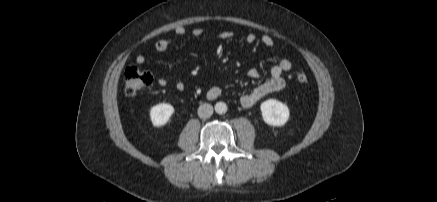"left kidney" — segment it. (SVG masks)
<instances>
[{
	"label": "left kidney",
	"mask_w": 437,
	"mask_h": 202,
	"mask_svg": "<svg viewBox=\"0 0 437 202\" xmlns=\"http://www.w3.org/2000/svg\"><path fill=\"white\" fill-rule=\"evenodd\" d=\"M260 109L263 120L268 125L283 126L289 119V108L278 100L268 99L261 103Z\"/></svg>",
	"instance_id": "5707ae66"
}]
</instances>
